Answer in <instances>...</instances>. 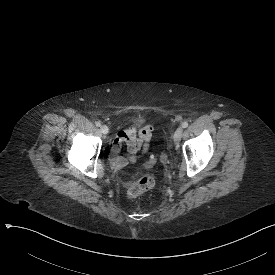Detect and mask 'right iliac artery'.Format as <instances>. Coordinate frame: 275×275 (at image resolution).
Here are the masks:
<instances>
[{
    "mask_svg": "<svg viewBox=\"0 0 275 275\" xmlns=\"http://www.w3.org/2000/svg\"><path fill=\"white\" fill-rule=\"evenodd\" d=\"M95 125H96L97 127H100V126H101L100 121H97V122L95 123Z\"/></svg>",
    "mask_w": 275,
    "mask_h": 275,
    "instance_id": "obj_1",
    "label": "right iliac artery"
}]
</instances>
